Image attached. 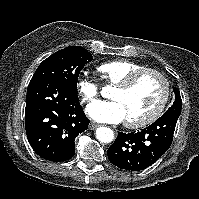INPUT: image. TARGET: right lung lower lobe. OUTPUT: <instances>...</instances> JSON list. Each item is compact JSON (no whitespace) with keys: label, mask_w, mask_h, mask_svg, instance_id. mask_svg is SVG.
<instances>
[{"label":"right lung lower lobe","mask_w":199,"mask_h":199,"mask_svg":"<svg viewBox=\"0 0 199 199\" xmlns=\"http://www.w3.org/2000/svg\"><path fill=\"white\" fill-rule=\"evenodd\" d=\"M79 99L55 79L30 81L25 128L30 145L40 157L61 162L75 153V138L89 125Z\"/></svg>","instance_id":"obj_1"}]
</instances>
